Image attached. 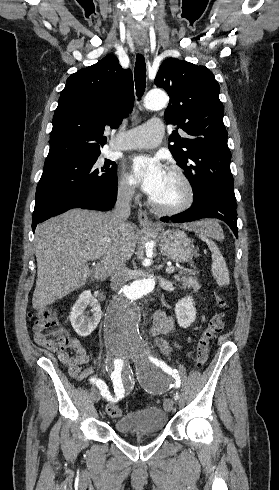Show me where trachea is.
I'll list each match as a JSON object with an SVG mask.
<instances>
[{
  "instance_id": "obj_1",
  "label": "trachea",
  "mask_w": 279,
  "mask_h": 490,
  "mask_svg": "<svg viewBox=\"0 0 279 490\" xmlns=\"http://www.w3.org/2000/svg\"><path fill=\"white\" fill-rule=\"evenodd\" d=\"M135 86L137 96L142 97L146 86V65L143 55L137 54L135 63Z\"/></svg>"
}]
</instances>
